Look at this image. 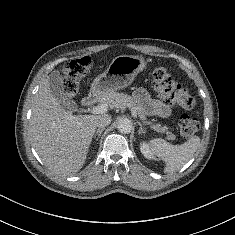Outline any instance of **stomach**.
Instances as JSON below:
<instances>
[{
  "label": "stomach",
  "mask_w": 235,
  "mask_h": 235,
  "mask_svg": "<svg viewBox=\"0 0 235 235\" xmlns=\"http://www.w3.org/2000/svg\"><path fill=\"white\" fill-rule=\"evenodd\" d=\"M145 67L146 62L142 57L117 56L112 60L106 71L94 79L91 93L96 96H103L109 92L126 88Z\"/></svg>",
  "instance_id": "1"
}]
</instances>
